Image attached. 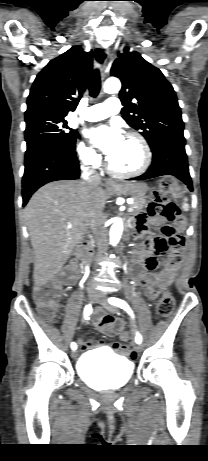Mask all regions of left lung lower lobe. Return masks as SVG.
<instances>
[{"mask_svg":"<svg viewBox=\"0 0 208 461\" xmlns=\"http://www.w3.org/2000/svg\"><path fill=\"white\" fill-rule=\"evenodd\" d=\"M152 153V164L147 172L134 179L146 180L162 175H173L183 181L191 191L193 190L184 138L171 137L164 139L152 149Z\"/></svg>","mask_w":208,"mask_h":461,"instance_id":"left-lung-lower-lobe-1","label":"left lung lower lobe"}]
</instances>
